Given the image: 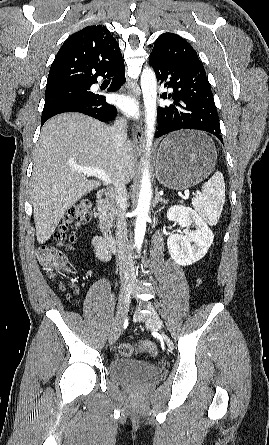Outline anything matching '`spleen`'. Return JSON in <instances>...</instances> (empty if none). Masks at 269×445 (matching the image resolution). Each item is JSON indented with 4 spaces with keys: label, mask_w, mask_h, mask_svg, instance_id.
Instances as JSON below:
<instances>
[{
    "label": "spleen",
    "mask_w": 269,
    "mask_h": 445,
    "mask_svg": "<svg viewBox=\"0 0 269 445\" xmlns=\"http://www.w3.org/2000/svg\"><path fill=\"white\" fill-rule=\"evenodd\" d=\"M225 203V182L219 171L203 184L201 193L192 199L199 215L211 226L217 224Z\"/></svg>",
    "instance_id": "spleen-1"
}]
</instances>
